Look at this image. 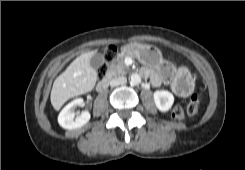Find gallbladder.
<instances>
[{
	"label": "gallbladder",
	"mask_w": 245,
	"mask_h": 170,
	"mask_svg": "<svg viewBox=\"0 0 245 170\" xmlns=\"http://www.w3.org/2000/svg\"><path fill=\"white\" fill-rule=\"evenodd\" d=\"M104 64V57L101 53L96 52L90 58V65L94 69L100 68Z\"/></svg>",
	"instance_id": "bac80fb5"
}]
</instances>
